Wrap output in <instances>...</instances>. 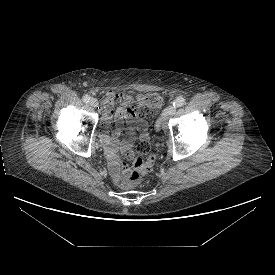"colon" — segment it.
<instances>
[{
  "instance_id": "obj_1",
  "label": "colon",
  "mask_w": 275,
  "mask_h": 275,
  "mask_svg": "<svg viewBox=\"0 0 275 275\" xmlns=\"http://www.w3.org/2000/svg\"><path fill=\"white\" fill-rule=\"evenodd\" d=\"M142 104L144 105V109L142 112V116L151 120L154 116L153 111L163 104V97L159 94L153 93L148 94L142 98ZM151 149V143L147 134H144L137 143V151L141 154H146ZM155 162V155H150L146 160L142 158H135L133 161V171L131 175L124 180L121 185L124 188H134L139 186L143 177L146 173L150 172L153 168Z\"/></svg>"
}]
</instances>
